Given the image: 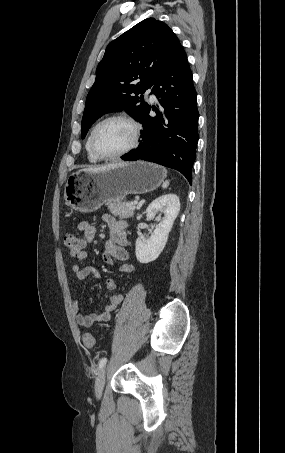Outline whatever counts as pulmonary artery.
<instances>
[{
	"instance_id": "obj_1",
	"label": "pulmonary artery",
	"mask_w": 285,
	"mask_h": 453,
	"mask_svg": "<svg viewBox=\"0 0 285 453\" xmlns=\"http://www.w3.org/2000/svg\"><path fill=\"white\" fill-rule=\"evenodd\" d=\"M147 93L150 95L151 100H155L156 99V95H155V93H154L152 88H149L147 90Z\"/></svg>"
}]
</instances>
